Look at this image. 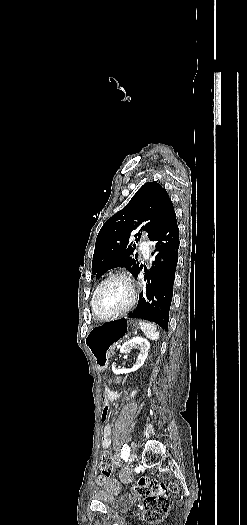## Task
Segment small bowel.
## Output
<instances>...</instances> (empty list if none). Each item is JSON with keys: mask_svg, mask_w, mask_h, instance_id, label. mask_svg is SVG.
<instances>
[{"mask_svg": "<svg viewBox=\"0 0 247 525\" xmlns=\"http://www.w3.org/2000/svg\"><path fill=\"white\" fill-rule=\"evenodd\" d=\"M119 396H120V392L119 391L114 390V389H106L103 399H111V401L113 402ZM111 437H112V427H111V425L109 423L104 424L103 431H102V440H101V444H102V447H103L104 450L110 449L111 443H112ZM112 460H113L115 465H120V463H121L120 452H119V450L117 448L113 451ZM96 482L99 485H104L106 483V479H105L104 476L99 475L96 478Z\"/></svg>", "mask_w": 247, "mask_h": 525, "instance_id": "1", "label": "small bowel"}]
</instances>
